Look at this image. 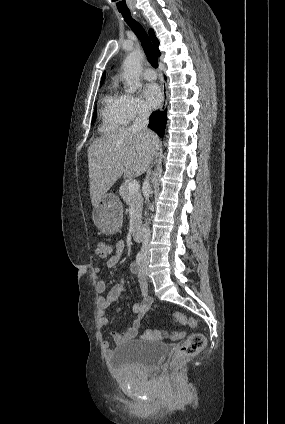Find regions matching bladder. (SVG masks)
Returning a JSON list of instances; mask_svg holds the SVG:
<instances>
[{
  "instance_id": "bladder-1",
  "label": "bladder",
  "mask_w": 285,
  "mask_h": 424,
  "mask_svg": "<svg viewBox=\"0 0 285 424\" xmlns=\"http://www.w3.org/2000/svg\"><path fill=\"white\" fill-rule=\"evenodd\" d=\"M167 352L165 343L134 339L118 345L109 361L116 370L150 371L160 364Z\"/></svg>"
}]
</instances>
